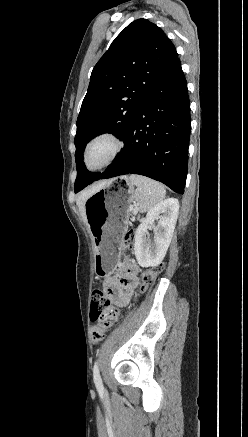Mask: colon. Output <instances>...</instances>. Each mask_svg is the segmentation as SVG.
Masks as SVG:
<instances>
[{
  "instance_id": "colon-1",
  "label": "colon",
  "mask_w": 248,
  "mask_h": 437,
  "mask_svg": "<svg viewBox=\"0 0 248 437\" xmlns=\"http://www.w3.org/2000/svg\"><path fill=\"white\" fill-rule=\"evenodd\" d=\"M133 243L134 233L128 231L122 239V246L124 249H130L132 248ZM163 269V264H159L155 267L144 270L141 273L140 292H144ZM112 312L111 303L107 298L105 290L102 288L94 289L92 292L90 307V320L94 323L90 335L93 343H100L104 339L106 331L117 321V318H113L112 321H105L108 316H112Z\"/></svg>"
}]
</instances>
